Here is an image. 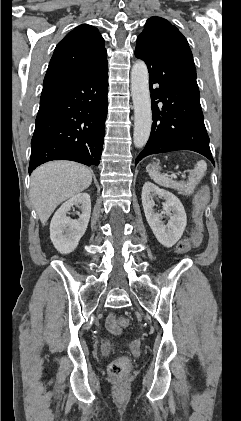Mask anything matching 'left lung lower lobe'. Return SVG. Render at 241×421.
<instances>
[{
  "instance_id": "1",
  "label": "left lung lower lobe",
  "mask_w": 241,
  "mask_h": 421,
  "mask_svg": "<svg viewBox=\"0 0 241 421\" xmlns=\"http://www.w3.org/2000/svg\"><path fill=\"white\" fill-rule=\"evenodd\" d=\"M135 56L148 67L153 112L150 138L136 164L148 155L175 150L198 152L215 164L203 121L192 55L138 38Z\"/></svg>"
}]
</instances>
